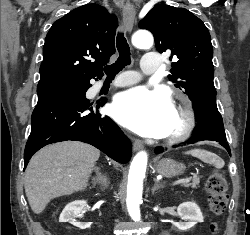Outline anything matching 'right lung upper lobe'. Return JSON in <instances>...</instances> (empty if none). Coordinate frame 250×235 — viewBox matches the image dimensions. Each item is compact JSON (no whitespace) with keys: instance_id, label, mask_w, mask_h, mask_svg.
I'll return each mask as SVG.
<instances>
[{"instance_id":"cb5924a9","label":"right lung upper lobe","mask_w":250,"mask_h":235,"mask_svg":"<svg viewBox=\"0 0 250 235\" xmlns=\"http://www.w3.org/2000/svg\"><path fill=\"white\" fill-rule=\"evenodd\" d=\"M117 18L98 4L80 6L55 21L47 33L37 92L103 76L115 52Z\"/></svg>"}]
</instances>
